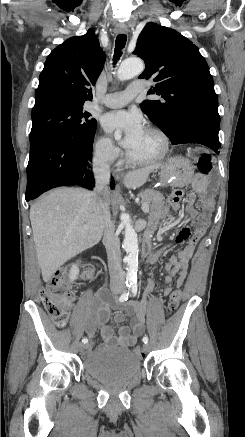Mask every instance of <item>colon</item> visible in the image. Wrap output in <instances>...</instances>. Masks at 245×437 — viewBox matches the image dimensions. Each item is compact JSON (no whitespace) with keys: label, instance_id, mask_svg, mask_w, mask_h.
<instances>
[{"label":"colon","instance_id":"1","mask_svg":"<svg viewBox=\"0 0 245 437\" xmlns=\"http://www.w3.org/2000/svg\"><path fill=\"white\" fill-rule=\"evenodd\" d=\"M198 170L200 173L207 175L212 169L211 156L207 153H203L198 157L197 162ZM183 198L181 190H175L171 193L169 201L172 203H179ZM210 208H208V211ZM96 275V272L92 268H88L84 273L85 279H91ZM67 272L62 271L57 273L47 284L46 289L41 293L42 302L48 314L53 322L63 327L66 325L69 317V306L73 301V292L67 289ZM182 293L180 290H174L168 300V310L170 312L176 311L181 300ZM135 354L142 356L143 350L140 346L134 347Z\"/></svg>","mask_w":245,"mask_h":437}]
</instances>
